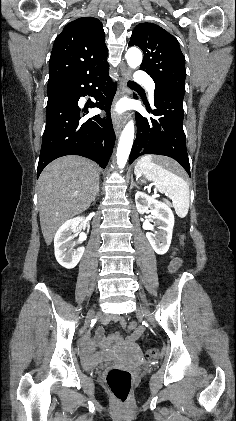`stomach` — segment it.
Wrapping results in <instances>:
<instances>
[{
	"mask_svg": "<svg viewBox=\"0 0 236 421\" xmlns=\"http://www.w3.org/2000/svg\"><path fill=\"white\" fill-rule=\"evenodd\" d=\"M139 182H145L144 178H138Z\"/></svg>",
	"mask_w": 236,
	"mask_h": 421,
	"instance_id": "1",
	"label": "stomach"
}]
</instances>
